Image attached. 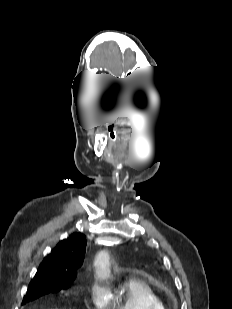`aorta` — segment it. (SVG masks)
Wrapping results in <instances>:
<instances>
[{
  "label": "aorta",
  "mask_w": 232,
  "mask_h": 309,
  "mask_svg": "<svg viewBox=\"0 0 232 309\" xmlns=\"http://www.w3.org/2000/svg\"><path fill=\"white\" fill-rule=\"evenodd\" d=\"M97 274L101 277H107L110 273L109 254L106 251H101L95 260Z\"/></svg>",
  "instance_id": "aorta-1"
}]
</instances>
